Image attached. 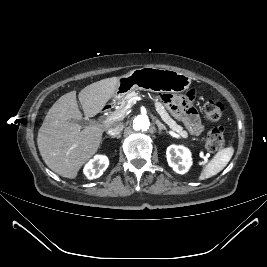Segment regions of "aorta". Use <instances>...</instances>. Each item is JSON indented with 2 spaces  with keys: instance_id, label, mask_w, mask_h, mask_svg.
I'll list each match as a JSON object with an SVG mask.
<instances>
[{
  "instance_id": "1",
  "label": "aorta",
  "mask_w": 267,
  "mask_h": 267,
  "mask_svg": "<svg viewBox=\"0 0 267 267\" xmlns=\"http://www.w3.org/2000/svg\"><path fill=\"white\" fill-rule=\"evenodd\" d=\"M150 127V120L147 115H138L133 120V128L137 131H146Z\"/></svg>"
}]
</instances>
